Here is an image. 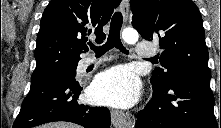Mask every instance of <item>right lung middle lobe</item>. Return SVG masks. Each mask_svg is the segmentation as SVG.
<instances>
[{"mask_svg":"<svg viewBox=\"0 0 221 128\" xmlns=\"http://www.w3.org/2000/svg\"><path fill=\"white\" fill-rule=\"evenodd\" d=\"M76 68H77V65H72V66H68V67L59 69V70L53 72L52 74H49L46 76H32L31 81L34 82V81L40 80L42 78L48 77L50 75L74 77L76 75Z\"/></svg>","mask_w":221,"mask_h":128,"instance_id":"right-lung-middle-lobe-1","label":"right lung middle lobe"}]
</instances>
